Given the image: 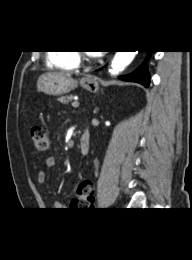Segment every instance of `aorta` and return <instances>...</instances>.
<instances>
[{
    "mask_svg": "<svg viewBox=\"0 0 192 260\" xmlns=\"http://www.w3.org/2000/svg\"><path fill=\"white\" fill-rule=\"evenodd\" d=\"M136 54L137 51H117L112 60L109 72L112 75L120 73L133 61Z\"/></svg>",
    "mask_w": 192,
    "mask_h": 260,
    "instance_id": "1",
    "label": "aorta"
}]
</instances>
